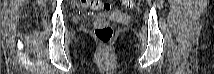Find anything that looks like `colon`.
<instances>
[{
    "label": "colon",
    "mask_w": 214,
    "mask_h": 74,
    "mask_svg": "<svg viewBox=\"0 0 214 74\" xmlns=\"http://www.w3.org/2000/svg\"><path fill=\"white\" fill-rule=\"evenodd\" d=\"M124 8H133L134 0H122L121 1ZM86 6L94 10H110L111 4L106 1H87ZM95 36L104 45H107L114 36V28L110 22L99 20L95 24Z\"/></svg>",
    "instance_id": "1"
}]
</instances>
